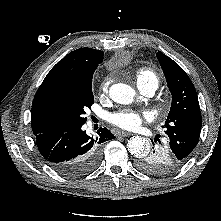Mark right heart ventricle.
I'll use <instances>...</instances> for the list:
<instances>
[{"mask_svg":"<svg viewBox=\"0 0 221 221\" xmlns=\"http://www.w3.org/2000/svg\"><path fill=\"white\" fill-rule=\"evenodd\" d=\"M136 81L138 85L153 84L158 87L159 77L157 73L151 68L142 67L135 72Z\"/></svg>","mask_w":221,"mask_h":221,"instance_id":"1","label":"right heart ventricle"}]
</instances>
